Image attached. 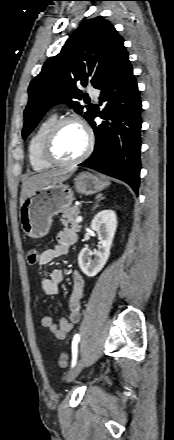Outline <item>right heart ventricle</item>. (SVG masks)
Wrapping results in <instances>:
<instances>
[{"instance_id":"1","label":"right heart ventricle","mask_w":174,"mask_h":440,"mask_svg":"<svg viewBox=\"0 0 174 440\" xmlns=\"http://www.w3.org/2000/svg\"><path fill=\"white\" fill-rule=\"evenodd\" d=\"M57 121L56 115L46 117L34 130L28 142V158L33 170L37 172L45 171L53 167L43 157V144L45 137Z\"/></svg>"}]
</instances>
